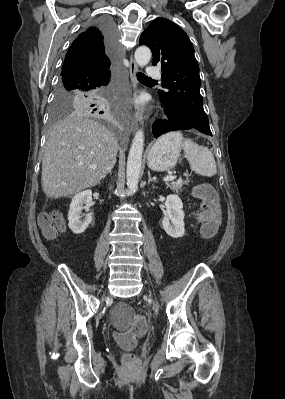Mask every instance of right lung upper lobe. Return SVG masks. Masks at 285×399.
<instances>
[{"label": "right lung upper lobe", "instance_id": "obj_1", "mask_svg": "<svg viewBox=\"0 0 285 399\" xmlns=\"http://www.w3.org/2000/svg\"><path fill=\"white\" fill-rule=\"evenodd\" d=\"M86 64L94 68L110 64L105 38L97 25L87 28L74 40L66 54L61 75Z\"/></svg>", "mask_w": 285, "mask_h": 399}]
</instances>
